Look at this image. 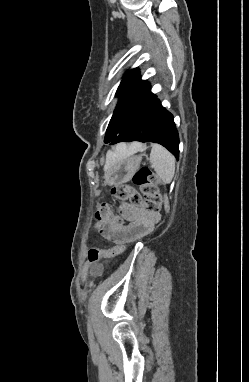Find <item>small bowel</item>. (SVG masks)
I'll return each instance as SVG.
<instances>
[{
  "mask_svg": "<svg viewBox=\"0 0 249 382\" xmlns=\"http://www.w3.org/2000/svg\"><path fill=\"white\" fill-rule=\"evenodd\" d=\"M121 216L126 225L117 224L112 218L96 216V226L103 237L112 242L135 241L151 233L161 216L131 204L121 206Z\"/></svg>",
  "mask_w": 249,
  "mask_h": 382,
  "instance_id": "small-bowel-1",
  "label": "small bowel"
}]
</instances>
